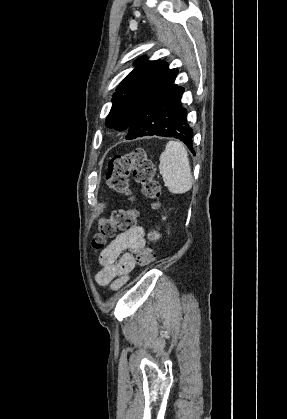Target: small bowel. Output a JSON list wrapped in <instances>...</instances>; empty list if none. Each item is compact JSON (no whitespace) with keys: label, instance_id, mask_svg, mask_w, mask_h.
Wrapping results in <instances>:
<instances>
[{"label":"small bowel","instance_id":"c3829d8e","mask_svg":"<svg viewBox=\"0 0 287 419\" xmlns=\"http://www.w3.org/2000/svg\"><path fill=\"white\" fill-rule=\"evenodd\" d=\"M145 229L134 226L117 235L99 254L101 270L96 274L99 285H110L112 290L124 286L135 266L134 253L145 244Z\"/></svg>","mask_w":287,"mask_h":419}]
</instances>
